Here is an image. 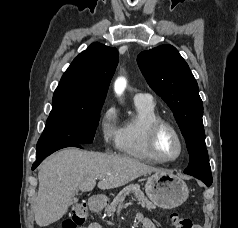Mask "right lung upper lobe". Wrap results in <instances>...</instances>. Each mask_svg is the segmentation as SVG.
I'll list each match as a JSON object with an SVG mask.
<instances>
[{
    "label": "right lung upper lobe",
    "instance_id": "obj_1",
    "mask_svg": "<svg viewBox=\"0 0 238 228\" xmlns=\"http://www.w3.org/2000/svg\"><path fill=\"white\" fill-rule=\"evenodd\" d=\"M118 64V51L100 43L81 52L63 74L53 96L51 112L93 109L104 103Z\"/></svg>",
    "mask_w": 238,
    "mask_h": 228
}]
</instances>
